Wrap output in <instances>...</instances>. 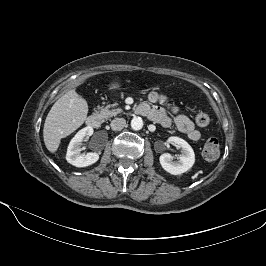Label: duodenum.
<instances>
[{
  "mask_svg": "<svg viewBox=\"0 0 266 266\" xmlns=\"http://www.w3.org/2000/svg\"><path fill=\"white\" fill-rule=\"evenodd\" d=\"M136 112L139 113V108L136 109ZM86 123L92 128H99L101 125V116L99 114H92L87 118Z\"/></svg>",
  "mask_w": 266,
  "mask_h": 266,
  "instance_id": "1",
  "label": "duodenum"
}]
</instances>
